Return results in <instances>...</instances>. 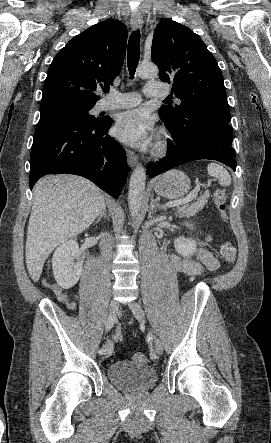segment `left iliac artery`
<instances>
[{
  "label": "left iliac artery",
  "mask_w": 271,
  "mask_h": 443,
  "mask_svg": "<svg viewBox=\"0 0 271 443\" xmlns=\"http://www.w3.org/2000/svg\"><path fill=\"white\" fill-rule=\"evenodd\" d=\"M147 344L149 346L150 350V357L152 360H155L157 358L155 351L153 350L152 342H153V335L151 332L148 333L146 338Z\"/></svg>",
  "instance_id": "obj_1"
}]
</instances>
